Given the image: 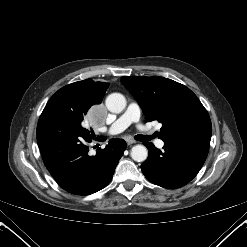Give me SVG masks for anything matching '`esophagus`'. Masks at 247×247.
I'll return each instance as SVG.
<instances>
[{
    "label": "esophagus",
    "instance_id": "34e87169",
    "mask_svg": "<svg viewBox=\"0 0 247 247\" xmlns=\"http://www.w3.org/2000/svg\"><path fill=\"white\" fill-rule=\"evenodd\" d=\"M126 143H127V145H131V144L136 143V141L133 140V139H131V138H127V139H126Z\"/></svg>",
    "mask_w": 247,
    "mask_h": 247
}]
</instances>
